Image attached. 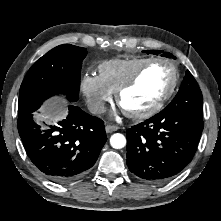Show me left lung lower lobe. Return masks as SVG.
Returning <instances> with one entry per match:
<instances>
[{
	"label": "left lung lower lobe",
	"instance_id": "0a47b994",
	"mask_svg": "<svg viewBox=\"0 0 221 221\" xmlns=\"http://www.w3.org/2000/svg\"><path fill=\"white\" fill-rule=\"evenodd\" d=\"M203 119L169 106L126 131L129 170L152 183L165 182L192 160L203 130Z\"/></svg>",
	"mask_w": 221,
	"mask_h": 221
}]
</instances>
